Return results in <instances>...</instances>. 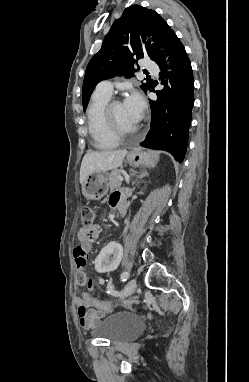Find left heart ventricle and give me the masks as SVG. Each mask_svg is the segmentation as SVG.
Instances as JSON below:
<instances>
[{
  "label": "left heart ventricle",
  "instance_id": "1",
  "mask_svg": "<svg viewBox=\"0 0 249 382\" xmlns=\"http://www.w3.org/2000/svg\"><path fill=\"white\" fill-rule=\"evenodd\" d=\"M113 117L116 124L125 131H132L138 126V123L130 117L121 103L114 105Z\"/></svg>",
  "mask_w": 249,
  "mask_h": 382
}]
</instances>
